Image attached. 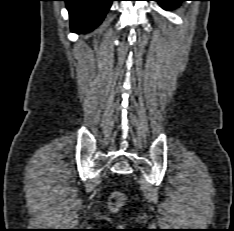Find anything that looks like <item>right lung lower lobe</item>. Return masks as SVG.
<instances>
[{
  "label": "right lung lower lobe",
  "mask_w": 234,
  "mask_h": 231,
  "mask_svg": "<svg viewBox=\"0 0 234 231\" xmlns=\"http://www.w3.org/2000/svg\"><path fill=\"white\" fill-rule=\"evenodd\" d=\"M71 17L73 32H86L98 26L104 19L113 0H63Z\"/></svg>",
  "instance_id": "right-lung-lower-lobe-1"
}]
</instances>
